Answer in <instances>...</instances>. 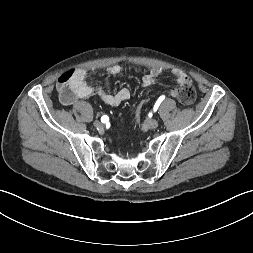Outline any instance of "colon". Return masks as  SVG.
I'll list each match as a JSON object with an SVG mask.
<instances>
[{
    "label": "colon",
    "instance_id": "obj_1",
    "mask_svg": "<svg viewBox=\"0 0 253 253\" xmlns=\"http://www.w3.org/2000/svg\"><path fill=\"white\" fill-rule=\"evenodd\" d=\"M72 77V72H67L61 75V77L58 80V88L60 91V94L62 96H67L69 93V82ZM196 97V92L193 86L191 85H185L181 87L178 90V101L184 105H190L194 102ZM150 102V99L148 97H145L138 105L137 109L134 113V118L136 120H139L141 118V114L143 113V110L146 108L147 104Z\"/></svg>",
    "mask_w": 253,
    "mask_h": 253
}]
</instances>
